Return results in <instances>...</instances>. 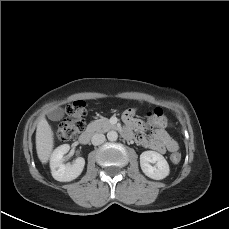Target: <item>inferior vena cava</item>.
<instances>
[{
    "mask_svg": "<svg viewBox=\"0 0 229 229\" xmlns=\"http://www.w3.org/2000/svg\"><path fill=\"white\" fill-rule=\"evenodd\" d=\"M105 141V135L101 133H96L92 136L91 142L93 145H100Z\"/></svg>",
    "mask_w": 229,
    "mask_h": 229,
    "instance_id": "1",
    "label": "inferior vena cava"
}]
</instances>
